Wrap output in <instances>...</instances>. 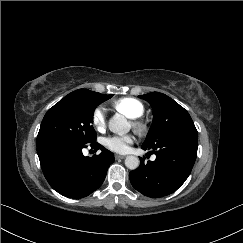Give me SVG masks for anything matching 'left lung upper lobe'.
I'll list each match as a JSON object with an SVG mask.
<instances>
[{
    "instance_id": "5c2ea615",
    "label": "left lung upper lobe",
    "mask_w": 243,
    "mask_h": 243,
    "mask_svg": "<svg viewBox=\"0 0 243 243\" xmlns=\"http://www.w3.org/2000/svg\"><path fill=\"white\" fill-rule=\"evenodd\" d=\"M139 98L148 101L155 114L144 146L157 147L167 140L197 133L188 112L172 98L159 92L140 95Z\"/></svg>"
}]
</instances>
